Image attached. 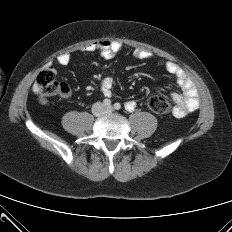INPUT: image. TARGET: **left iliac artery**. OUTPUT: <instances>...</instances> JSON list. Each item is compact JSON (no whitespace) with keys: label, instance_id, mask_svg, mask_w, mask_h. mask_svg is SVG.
I'll use <instances>...</instances> for the list:
<instances>
[{"label":"left iliac artery","instance_id":"left-iliac-artery-1","mask_svg":"<svg viewBox=\"0 0 232 232\" xmlns=\"http://www.w3.org/2000/svg\"><path fill=\"white\" fill-rule=\"evenodd\" d=\"M114 108H115L116 110H119V109L121 108L120 103H115V104H114Z\"/></svg>","mask_w":232,"mask_h":232}]
</instances>
